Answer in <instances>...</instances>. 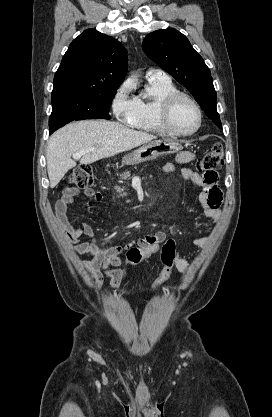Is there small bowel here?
<instances>
[{"instance_id": "obj_1", "label": "small bowel", "mask_w": 272, "mask_h": 417, "mask_svg": "<svg viewBox=\"0 0 272 417\" xmlns=\"http://www.w3.org/2000/svg\"><path fill=\"white\" fill-rule=\"evenodd\" d=\"M194 158L195 155L191 152H181L177 155L175 163L186 164ZM175 163L167 162L163 166V172L165 174L175 175L179 179L189 180L198 186L197 200L202 206L203 214L210 219L217 220L220 215L219 208L222 202V192L218 186V174L200 175L190 168L178 170ZM80 192L79 189L73 186L64 188L62 196L55 206L56 217L63 228L66 239L72 243L74 252L92 256V260L83 263L84 269L93 280L92 288L95 290L102 288L104 284V273L101 269H104L105 273L110 277L107 292L111 293L118 288V284L123 276V271L120 269L122 254L142 241L165 239L167 236L162 231H155L133 239L123 246H103L95 239L93 228L89 224L81 223L78 225L67 217L69 206ZM83 194L89 198L88 210L92 212V200L97 202L101 201L102 194L91 187L85 188ZM190 242L194 246L202 247L208 243V238L196 237L192 238ZM174 268L180 273H185L189 269V263L180 251L176 254Z\"/></svg>"}]
</instances>
